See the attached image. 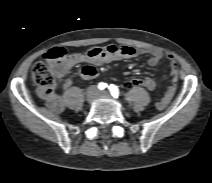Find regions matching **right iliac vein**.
I'll list each match as a JSON object with an SVG mask.
<instances>
[{
    "instance_id": "1",
    "label": "right iliac vein",
    "mask_w": 212,
    "mask_h": 183,
    "mask_svg": "<svg viewBox=\"0 0 212 183\" xmlns=\"http://www.w3.org/2000/svg\"><path fill=\"white\" fill-rule=\"evenodd\" d=\"M98 96V92L96 90H90L87 94V101L92 103Z\"/></svg>"
}]
</instances>
